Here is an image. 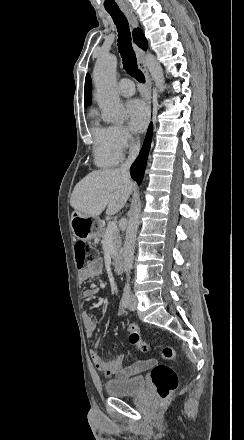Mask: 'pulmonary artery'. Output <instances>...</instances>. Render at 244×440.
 <instances>
[{
    "label": "pulmonary artery",
    "instance_id": "e3ab8cb5",
    "mask_svg": "<svg viewBox=\"0 0 244 440\" xmlns=\"http://www.w3.org/2000/svg\"><path fill=\"white\" fill-rule=\"evenodd\" d=\"M118 89L120 91V94L124 97L134 96L135 94V89L132 85V82H128L127 76L121 77V82H119L118 84Z\"/></svg>",
    "mask_w": 244,
    "mask_h": 440
}]
</instances>
